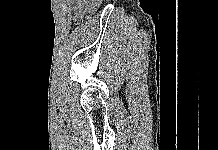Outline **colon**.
Returning a JSON list of instances; mask_svg holds the SVG:
<instances>
[{"mask_svg": "<svg viewBox=\"0 0 218 150\" xmlns=\"http://www.w3.org/2000/svg\"><path fill=\"white\" fill-rule=\"evenodd\" d=\"M86 15H87V11H80L76 15V20L81 21L82 19L86 17Z\"/></svg>", "mask_w": 218, "mask_h": 150, "instance_id": "1", "label": "colon"}]
</instances>
